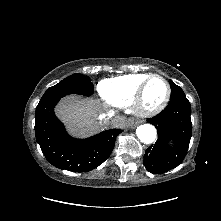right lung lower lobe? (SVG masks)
Returning a JSON list of instances; mask_svg holds the SVG:
<instances>
[{
	"instance_id": "98d812e1",
	"label": "right lung lower lobe",
	"mask_w": 221,
	"mask_h": 221,
	"mask_svg": "<svg viewBox=\"0 0 221 221\" xmlns=\"http://www.w3.org/2000/svg\"><path fill=\"white\" fill-rule=\"evenodd\" d=\"M62 97L40 100L35 113L36 140L52 165L72 172L90 171L109 157L121 130L110 129L87 139L70 137L54 114Z\"/></svg>"
}]
</instances>
